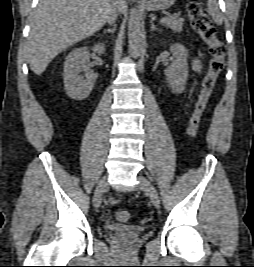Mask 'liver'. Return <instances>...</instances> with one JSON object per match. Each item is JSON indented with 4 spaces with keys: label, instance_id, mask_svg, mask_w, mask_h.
<instances>
[{
    "label": "liver",
    "instance_id": "obj_1",
    "mask_svg": "<svg viewBox=\"0 0 254 267\" xmlns=\"http://www.w3.org/2000/svg\"><path fill=\"white\" fill-rule=\"evenodd\" d=\"M115 0H40L30 16L27 59L41 75L62 51L99 31ZM124 13L125 0H118Z\"/></svg>",
    "mask_w": 254,
    "mask_h": 267
}]
</instances>
